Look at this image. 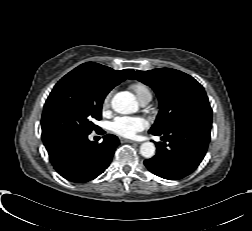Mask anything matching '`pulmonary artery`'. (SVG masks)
<instances>
[{
	"label": "pulmonary artery",
	"instance_id": "obj_1",
	"mask_svg": "<svg viewBox=\"0 0 252 231\" xmlns=\"http://www.w3.org/2000/svg\"><path fill=\"white\" fill-rule=\"evenodd\" d=\"M150 100H151V97H146L143 100H141L140 102L143 106H146L150 102Z\"/></svg>",
	"mask_w": 252,
	"mask_h": 231
}]
</instances>
